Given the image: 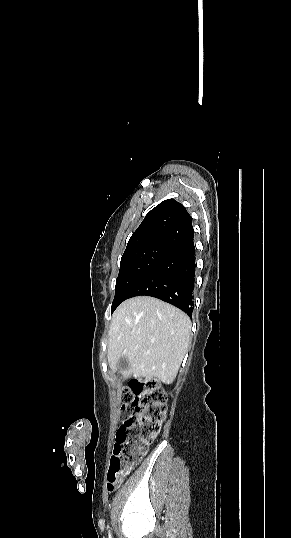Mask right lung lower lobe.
<instances>
[{"instance_id": "obj_1", "label": "right lung lower lobe", "mask_w": 291, "mask_h": 538, "mask_svg": "<svg viewBox=\"0 0 291 538\" xmlns=\"http://www.w3.org/2000/svg\"><path fill=\"white\" fill-rule=\"evenodd\" d=\"M195 268L192 237L172 248L138 283L129 298L140 295L156 297L192 317Z\"/></svg>"}]
</instances>
